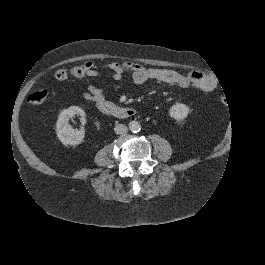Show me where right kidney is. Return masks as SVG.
I'll return each instance as SVG.
<instances>
[{
  "label": "right kidney",
  "instance_id": "ca27d5eb",
  "mask_svg": "<svg viewBox=\"0 0 265 265\" xmlns=\"http://www.w3.org/2000/svg\"><path fill=\"white\" fill-rule=\"evenodd\" d=\"M75 114L81 116V124H86V115L82 108L77 106H71L68 109L63 110L58 117L56 123V132L59 140L64 145H78L80 144L85 136L84 127H81L80 130L73 129L69 125V119L72 118Z\"/></svg>",
  "mask_w": 265,
  "mask_h": 265
}]
</instances>
